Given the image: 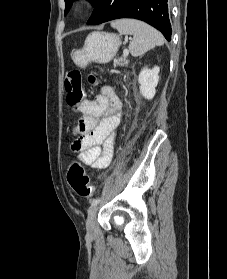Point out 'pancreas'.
<instances>
[{"mask_svg": "<svg viewBox=\"0 0 227 279\" xmlns=\"http://www.w3.org/2000/svg\"><path fill=\"white\" fill-rule=\"evenodd\" d=\"M118 65L119 66H128V61L121 58V59H119Z\"/></svg>", "mask_w": 227, "mask_h": 279, "instance_id": "cf45deb5", "label": "pancreas"}]
</instances>
